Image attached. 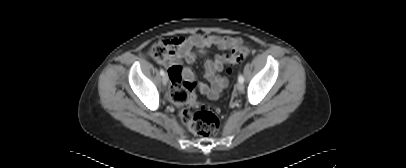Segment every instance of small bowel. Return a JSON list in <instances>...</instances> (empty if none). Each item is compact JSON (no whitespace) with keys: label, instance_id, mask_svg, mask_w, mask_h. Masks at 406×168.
<instances>
[{"label":"small bowel","instance_id":"obj_1","mask_svg":"<svg viewBox=\"0 0 406 168\" xmlns=\"http://www.w3.org/2000/svg\"><path fill=\"white\" fill-rule=\"evenodd\" d=\"M170 45L171 53L162 63L168 68L179 66L181 68L179 74L180 79L191 82L194 75L188 67V64L196 60L197 53L205 54L211 47H217L225 51L234 50L240 45V40L230 36L222 37L214 34H195L187 38H175L171 40ZM226 57V54H217L213 59H208L205 62V76L210 83V87L205 83H200L198 90L211 100L218 99L228 84L227 78L219 75L226 63Z\"/></svg>","mask_w":406,"mask_h":168}]
</instances>
